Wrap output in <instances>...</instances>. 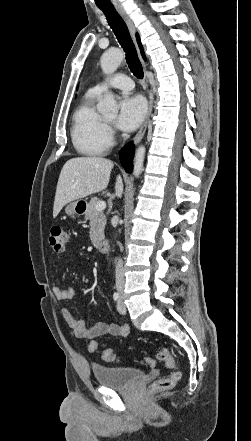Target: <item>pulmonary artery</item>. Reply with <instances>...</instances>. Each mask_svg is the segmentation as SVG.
Listing matches in <instances>:
<instances>
[{
  "label": "pulmonary artery",
  "instance_id": "e3ab8cb5",
  "mask_svg": "<svg viewBox=\"0 0 251 441\" xmlns=\"http://www.w3.org/2000/svg\"><path fill=\"white\" fill-rule=\"evenodd\" d=\"M134 87L133 81L124 74H116L113 77L98 83L92 90L96 93H103L111 88L120 89L123 91H130Z\"/></svg>",
  "mask_w": 251,
  "mask_h": 441
}]
</instances>
